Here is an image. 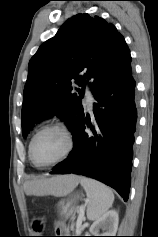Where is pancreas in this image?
Returning <instances> with one entry per match:
<instances>
[{"mask_svg": "<svg viewBox=\"0 0 158 237\" xmlns=\"http://www.w3.org/2000/svg\"><path fill=\"white\" fill-rule=\"evenodd\" d=\"M75 232H76V233H80L81 230H80V229H76Z\"/></svg>", "mask_w": 158, "mask_h": 237, "instance_id": "obj_1", "label": "pancreas"}]
</instances>
